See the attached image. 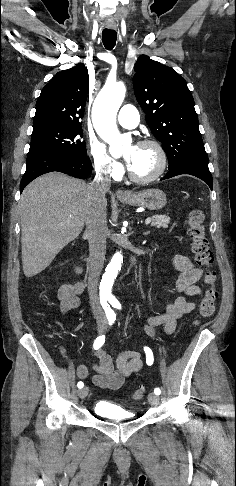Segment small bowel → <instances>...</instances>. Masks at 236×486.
<instances>
[{
	"label": "small bowel",
	"instance_id": "small-bowel-1",
	"mask_svg": "<svg viewBox=\"0 0 236 486\" xmlns=\"http://www.w3.org/2000/svg\"><path fill=\"white\" fill-rule=\"evenodd\" d=\"M174 267L179 272L175 282V296L166 305L163 313L149 316L146 319L144 330L148 336L154 338V328L164 325L167 333L175 330L177 321L184 315L195 310L196 304L188 298L201 293L198 283L203 277L201 269L196 267L186 256L177 255L173 261ZM83 290V284L79 281H68L58 291L59 308L62 314L75 309L80 304L79 294ZM95 355L98 363L92 369L96 372L93 383L104 389H120L125 380L138 372L143 366V358L139 352H121L115 360L103 349H97ZM89 367L80 365L77 367V375L81 379L87 378Z\"/></svg>",
	"mask_w": 236,
	"mask_h": 486
}]
</instances>
